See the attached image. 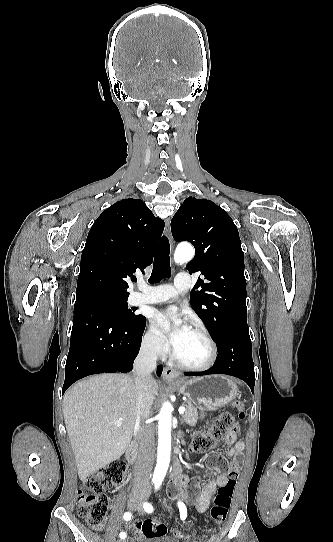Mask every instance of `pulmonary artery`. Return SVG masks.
<instances>
[{
    "instance_id": "1",
    "label": "pulmonary artery",
    "mask_w": 333,
    "mask_h": 542,
    "mask_svg": "<svg viewBox=\"0 0 333 542\" xmlns=\"http://www.w3.org/2000/svg\"><path fill=\"white\" fill-rule=\"evenodd\" d=\"M175 282L179 291H174V287L168 284H147L144 286L143 291L145 293V299L137 300L135 304H162L175 301L180 295L187 292L188 276L185 273H179L175 275ZM141 289L137 288L133 290V293H138Z\"/></svg>"
}]
</instances>
